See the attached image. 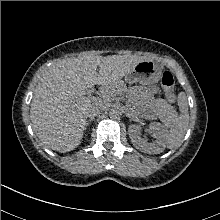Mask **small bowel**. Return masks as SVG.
Instances as JSON below:
<instances>
[{"label": "small bowel", "instance_id": "c3829d8e", "mask_svg": "<svg viewBox=\"0 0 220 220\" xmlns=\"http://www.w3.org/2000/svg\"><path fill=\"white\" fill-rule=\"evenodd\" d=\"M157 91V89L155 87H149L145 89V93L146 94H153Z\"/></svg>", "mask_w": 220, "mask_h": 220}]
</instances>
